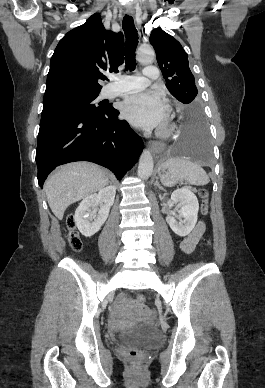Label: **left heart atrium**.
Here are the masks:
<instances>
[{"label":"left heart atrium","mask_w":265,"mask_h":388,"mask_svg":"<svg viewBox=\"0 0 265 388\" xmlns=\"http://www.w3.org/2000/svg\"><path fill=\"white\" fill-rule=\"evenodd\" d=\"M122 113L134 124L153 127L166 120L168 108L159 95L142 91L141 94H132L126 98Z\"/></svg>","instance_id":"1"}]
</instances>
